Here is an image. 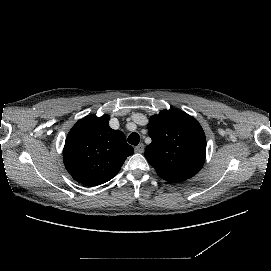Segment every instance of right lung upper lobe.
<instances>
[{"label": "right lung upper lobe", "instance_id": "cb5924a9", "mask_svg": "<svg viewBox=\"0 0 271 271\" xmlns=\"http://www.w3.org/2000/svg\"><path fill=\"white\" fill-rule=\"evenodd\" d=\"M110 117L89 115L79 120L67 135L63 160L77 182L95 186L111 180L125 159L133 154L124 134L109 127Z\"/></svg>", "mask_w": 271, "mask_h": 271}]
</instances>
